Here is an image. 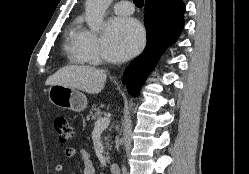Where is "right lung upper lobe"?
I'll return each mask as SVG.
<instances>
[{"label": "right lung upper lobe", "instance_id": "cb5924a9", "mask_svg": "<svg viewBox=\"0 0 249 174\" xmlns=\"http://www.w3.org/2000/svg\"><path fill=\"white\" fill-rule=\"evenodd\" d=\"M146 1V0H145ZM154 1H164V0H154Z\"/></svg>", "mask_w": 249, "mask_h": 174}]
</instances>
